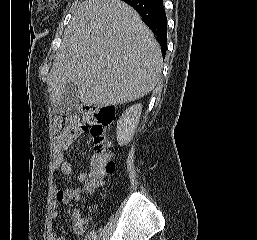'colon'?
Masks as SVG:
<instances>
[{"mask_svg":"<svg viewBox=\"0 0 257 240\" xmlns=\"http://www.w3.org/2000/svg\"><path fill=\"white\" fill-rule=\"evenodd\" d=\"M114 120V109L110 106H100L88 110L87 124L94 141V155L89 179L85 185L87 192H92L102 185L106 176L115 171V162L112 159L111 151L108 146V136L105 128L110 126ZM84 220H75V228L82 230Z\"/></svg>","mask_w":257,"mask_h":240,"instance_id":"obj_1","label":"colon"}]
</instances>
